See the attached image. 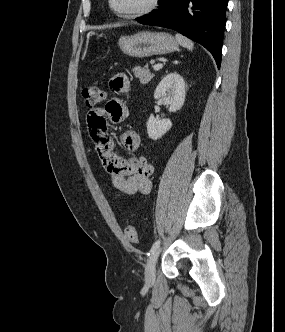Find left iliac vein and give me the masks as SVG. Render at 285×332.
<instances>
[{
  "label": "left iliac vein",
  "mask_w": 285,
  "mask_h": 332,
  "mask_svg": "<svg viewBox=\"0 0 285 332\" xmlns=\"http://www.w3.org/2000/svg\"><path fill=\"white\" fill-rule=\"evenodd\" d=\"M161 252V248L159 247L154 255L149 259L145 268V280L147 283L151 284L154 282L156 277V263Z\"/></svg>",
  "instance_id": "obj_1"
}]
</instances>
